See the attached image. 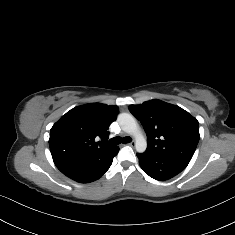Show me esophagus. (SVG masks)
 Here are the masks:
<instances>
[{
    "mask_svg": "<svg viewBox=\"0 0 235 235\" xmlns=\"http://www.w3.org/2000/svg\"><path fill=\"white\" fill-rule=\"evenodd\" d=\"M127 145H129V146H131V147H134V146H135V142L132 141V142L128 143Z\"/></svg>",
    "mask_w": 235,
    "mask_h": 235,
    "instance_id": "1",
    "label": "esophagus"
}]
</instances>
